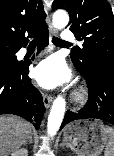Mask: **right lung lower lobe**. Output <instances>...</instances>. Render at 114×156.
Listing matches in <instances>:
<instances>
[{"label": "right lung lower lobe", "instance_id": "right-lung-lower-lobe-1", "mask_svg": "<svg viewBox=\"0 0 114 156\" xmlns=\"http://www.w3.org/2000/svg\"><path fill=\"white\" fill-rule=\"evenodd\" d=\"M37 38L38 52L49 43L48 27L40 29L33 35ZM28 39L17 46V53L26 46ZM29 64H20L19 68L8 75H0V114H15L32 122L39 128L45 106L40 92L32 85L28 77Z\"/></svg>", "mask_w": 114, "mask_h": 156}]
</instances>
